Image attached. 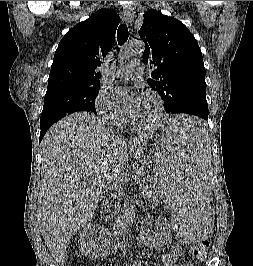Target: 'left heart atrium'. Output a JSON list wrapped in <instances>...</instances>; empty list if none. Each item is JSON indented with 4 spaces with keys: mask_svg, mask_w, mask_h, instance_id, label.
Wrapping results in <instances>:
<instances>
[{
    "mask_svg": "<svg viewBox=\"0 0 253 266\" xmlns=\"http://www.w3.org/2000/svg\"><path fill=\"white\" fill-rule=\"evenodd\" d=\"M141 94L139 93H133L130 98L129 101L126 105V109L129 113H132L134 111L135 106L137 105L138 101L141 98Z\"/></svg>",
    "mask_w": 253,
    "mask_h": 266,
    "instance_id": "obj_1",
    "label": "left heart atrium"
}]
</instances>
